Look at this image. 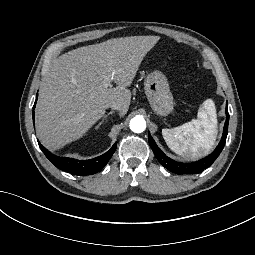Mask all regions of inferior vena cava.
<instances>
[{
    "label": "inferior vena cava",
    "mask_w": 255,
    "mask_h": 255,
    "mask_svg": "<svg viewBox=\"0 0 255 255\" xmlns=\"http://www.w3.org/2000/svg\"><path fill=\"white\" fill-rule=\"evenodd\" d=\"M110 108L113 109V110H120L121 105L118 104V103H116V102H114V103H112V104L110 105Z\"/></svg>",
    "instance_id": "inferior-vena-cava-1"
}]
</instances>
